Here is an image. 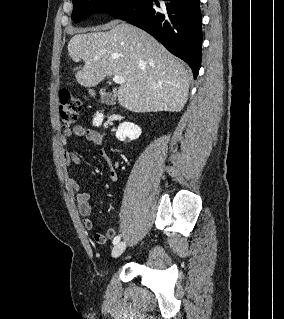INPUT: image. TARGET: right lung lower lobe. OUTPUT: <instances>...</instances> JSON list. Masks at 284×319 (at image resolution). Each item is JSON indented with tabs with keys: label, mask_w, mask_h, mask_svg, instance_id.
I'll use <instances>...</instances> for the list:
<instances>
[{
	"label": "right lung lower lobe",
	"mask_w": 284,
	"mask_h": 319,
	"mask_svg": "<svg viewBox=\"0 0 284 319\" xmlns=\"http://www.w3.org/2000/svg\"><path fill=\"white\" fill-rule=\"evenodd\" d=\"M108 14L151 34L197 77L202 45L200 0H132Z\"/></svg>",
	"instance_id": "1"
}]
</instances>
